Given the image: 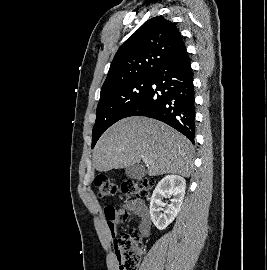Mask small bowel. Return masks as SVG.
I'll list each match as a JSON object with an SVG mask.
<instances>
[{
  "label": "small bowel",
  "mask_w": 267,
  "mask_h": 270,
  "mask_svg": "<svg viewBox=\"0 0 267 270\" xmlns=\"http://www.w3.org/2000/svg\"><path fill=\"white\" fill-rule=\"evenodd\" d=\"M111 209L112 212H110L107 207L104 214L108 231L112 237L117 234L119 223L133 214L139 218L140 234L143 237H147L150 234L151 219L144 202L140 200H130L119 204L117 207H111Z\"/></svg>",
  "instance_id": "obj_1"
}]
</instances>
